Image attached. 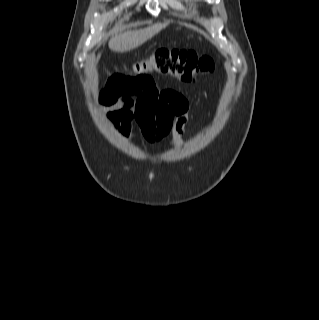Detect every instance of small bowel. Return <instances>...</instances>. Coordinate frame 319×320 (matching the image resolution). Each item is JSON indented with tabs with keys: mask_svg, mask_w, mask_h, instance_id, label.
<instances>
[{
	"mask_svg": "<svg viewBox=\"0 0 319 320\" xmlns=\"http://www.w3.org/2000/svg\"><path fill=\"white\" fill-rule=\"evenodd\" d=\"M135 94L138 96L136 101L133 99ZM99 98L105 108L103 120L124 134L128 133L135 113H151L160 123L171 127V146L175 149L184 146L189 104L182 93L170 88L158 89L152 78H144L123 89L109 86Z\"/></svg>",
	"mask_w": 319,
	"mask_h": 320,
	"instance_id": "small-bowel-1",
	"label": "small bowel"
}]
</instances>
